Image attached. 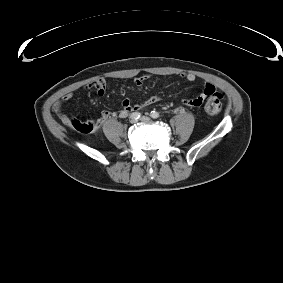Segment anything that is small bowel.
Returning <instances> with one entry per match:
<instances>
[{
  "label": "small bowel",
  "instance_id": "c3829d8e",
  "mask_svg": "<svg viewBox=\"0 0 283 283\" xmlns=\"http://www.w3.org/2000/svg\"><path fill=\"white\" fill-rule=\"evenodd\" d=\"M186 78L190 81L195 79L194 75H187ZM135 83L137 85H141L142 79H136ZM96 85L100 88L99 94L102 95L103 94L102 84L100 82H98ZM71 96H72V93H68L65 97L70 98ZM219 98H220V95L215 93L214 87L212 85L208 84V85H206L203 92H201L196 98H194V99H182L181 103L183 105L190 106V107H202V106H204V108L206 110H209V107L212 104H214L215 102H217V103L219 102ZM156 101H157L156 97H151L150 99H148L146 101L132 105L131 102L128 99H126L123 102L124 109H123L121 115L122 116L128 115L130 112L140 110L144 107H147V106L155 103ZM109 117H110V112L103 111L102 114H101V117L96 122L90 124L91 125V132H95V131L99 130L100 127L107 121V119ZM68 123L70 125V122H68ZM72 125H73V123H72Z\"/></svg>",
  "mask_w": 283,
  "mask_h": 283
}]
</instances>
